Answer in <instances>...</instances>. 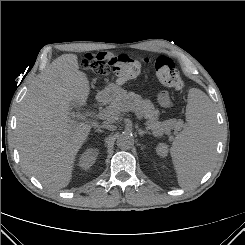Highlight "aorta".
<instances>
[{
  "label": "aorta",
  "mask_w": 245,
  "mask_h": 245,
  "mask_svg": "<svg viewBox=\"0 0 245 245\" xmlns=\"http://www.w3.org/2000/svg\"><path fill=\"white\" fill-rule=\"evenodd\" d=\"M117 146L122 150L130 149L134 144V138L129 133H122L116 141Z\"/></svg>",
  "instance_id": "aorta-1"
}]
</instances>
